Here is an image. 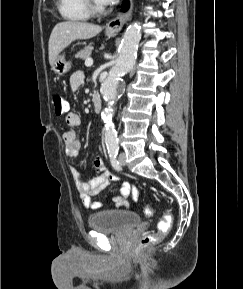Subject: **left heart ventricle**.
<instances>
[{"instance_id": "obj_1", "label": "left heart ventricle", "mask_w": 243, "mask_h": 289, "mask_svg": "<svg viewBox=\"0 0 243 289\" xmlns=\"http://www.w3.org/2000/svg\"><path fill=\"white\" fill-rule=\"evenodd\" d=\"M95 1H96V3H97V4H100V5H102V4L99 2V0H95Z\"/></svg>"}]
</instances>
